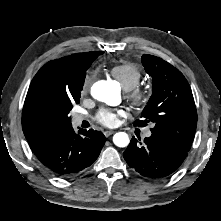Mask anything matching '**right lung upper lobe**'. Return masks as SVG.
<instances>
[{
    "instance_id": "right-lung-upper-lobe-1",
    "label": "right lung upper lobe",
    "mask_w": 221,
    "mask_h": 221,
    "mask_svg": "<svg viewBox=\"0 0 221 221\" xmlns=\"http://www.w3.org/2000/svg\"><path fill=\"white\" fill-rule=\"evenodd\" d=\"M103 51L63 56L46 63L31 81L22 128L33 153L72 126L62 114L65 102L80 98L86 71Z\"/></svg>"
}]
</instances>
